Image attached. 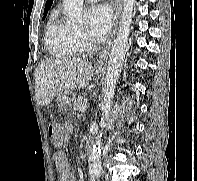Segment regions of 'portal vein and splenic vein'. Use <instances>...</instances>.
Instances as JSON below:
<instances>
[{"label": "portal vein and splenic vein", "instance_id": "portal-vein-and-splenic-vein-1", "mask_svg": "<svg viewBox=\"0 0 197 181\" xmlns=\"http://www.w3.org/2000/svg\"><path fill=\"white\" fill-rule=\"evenodd\" d=\"M79 111L84 113L86 111V107L85 106L80 107Z\"/></svg>", "mask_w": 197, "mask_h": 181}]
</instances>
